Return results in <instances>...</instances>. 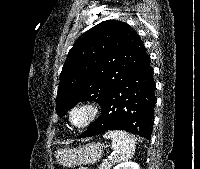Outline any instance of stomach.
<instances>
[{"mask_svg":"<svg viewBox=\"0 0 200 169\" xmlns=\"http://www.w3.org/2000/svg\"><path fill=\"white\" fill-rule=\"evenodd\" d=\"M103 144L88 143L82 147L65 148L57 151L56 161L64 167H74L81 164H93L100 160Z\"/></svg>","mask_w":200,"mask_h":169,"instance_id":"1","label":"stomach"}]
</instances>
